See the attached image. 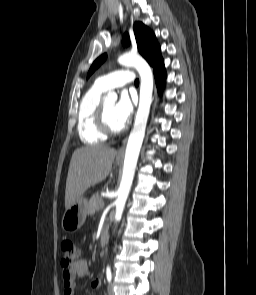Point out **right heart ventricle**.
<instances>
[{"label":"right heart ventricle","mask_w":256,"mask_h":295,"mask_svg":"<svg viewBox=\"0 0 256 295\" xmlns=\"http://www.w3.org/2000/svg\"><path fill=\"white\" fill-rule=\"evenodd\" d=\"M104 90L94 84L83 96L78 110V133L85 144L93 145L106 140V136L98 129L96 112Z\"/></svg>","instance_id":"e07e8e85"}]
</instances>
